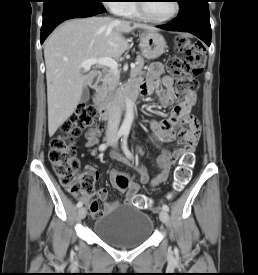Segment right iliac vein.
Listing matches in <instances>:
<instances>
[{
	"instance_id": "1",
	"label": "right iliac vein",
	"mask_w": 258,
	"mask_h": 275,
	"mask_svg": "<svg viewBox=\"0 0 258 275\" xmlns=\"http://www.w3.org/2000/svg\"><path fill=\"white\" fill-rule=\"evenodd\" d=\"M86 214H87V210L85 207H81L79 210H78V216L80 219H84L86 217Z\"/></svg>"
}]
</instances>
